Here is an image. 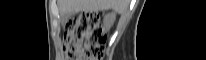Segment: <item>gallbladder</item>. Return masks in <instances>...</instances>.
Instances as JSON below:
<instances>
[{"label": "gallbladder", "instance_id": "1", "mask_svg": "<svg viewBox=\"0 0 206 60\" xmlns=\"http://www.w3.org/2000/svg\"><path fill=\"white\" fill-rule=\"evenodd\" d=\"M74 14V13H73ZM72 14H64L62 17L63 22H66L67 19L71 16Z\"/></svg>", "mask_w": 206, "mask_h": 60}]
</instances>
